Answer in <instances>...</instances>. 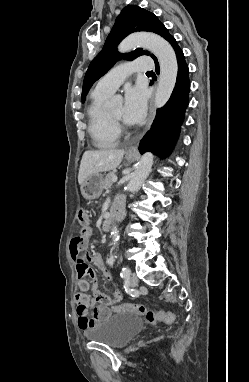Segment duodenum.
<instances>
[{
  "instance_id": "1",
  "label": "duodenum",
  "mask_w": 249,
  "mask_h": 382,
  "mask_svg": "<svg viewBox=\"0 0 249 382\" xmlns=\"http://www.w3.org/2000/svg\"><path fill=\"white\" fill-rule=\"evenodd\" d=\"M125 215V205L123 201H117L113 204L110 214L104 219L102 228L104 231L108 230L114 220H121Z\"/></svg>"
}]
</instances>
